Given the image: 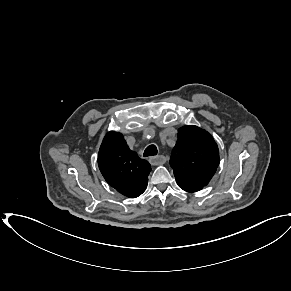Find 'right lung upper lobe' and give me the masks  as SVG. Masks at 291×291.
<instances>
[{
	"instance_id": "obj_1",
	"label": "right lung upper lobe",
	"mask_w": 291,
	"mask_h": 291,
	"mask_svg": "<svg viewBox=\"0 0 291 291\" xmlns=\"http://www.w3.org/2000/svg\"><path fill=\"white\" fill-rule=\"evenodd\" d=\"M98 165L107 183L122 195L135 198L146 190L150 164L129 149L121 133L106 134L99 149Z\"/></svg>"
}]
</instances>
